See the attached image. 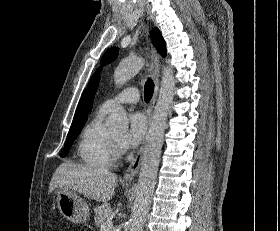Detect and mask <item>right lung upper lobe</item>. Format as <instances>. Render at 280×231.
Returning <instances> with one entry per match:
<instances>
[{"mask_svg":"<svg viewBox=\"0 0 280 231\" xmlns=\"http://www.w3.org/2000/svg\"><path fill=\"white\" fill-rule=\"evenodd\" d=\"M86 91L83 92L79 104L77 106L75 116L71 125V128H76L84 126L87 120V101H86Z\"/></svg>","mask_w":280,"mask_h":231,"instance_id":"obj_1","label":"right lung upper lobe"}]
</instances>
